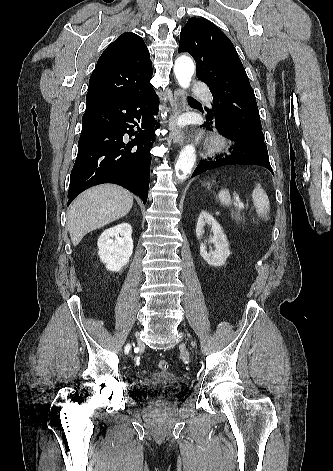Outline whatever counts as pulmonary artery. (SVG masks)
Wrapping results in <instances>:
<instances>
[{"label":"pulmonary artery","instance_id":"e3ab8cb5","mask_svg":"<svg viewBox=\"0 0 333 471\" xmlns=\"http://www.w3.org/2000/svg\"><path fill=\"white\" fill-rule=\"evenodd\" d=\"M192 91L195 95L203 96L208 101H210L212 99L211 93L209 92L208 88L206 87L205 84H203L201 82H196L193 86Z\"/></svg>","mask_w":333,"mask_h":471}]
</instances>
